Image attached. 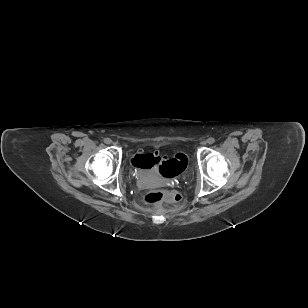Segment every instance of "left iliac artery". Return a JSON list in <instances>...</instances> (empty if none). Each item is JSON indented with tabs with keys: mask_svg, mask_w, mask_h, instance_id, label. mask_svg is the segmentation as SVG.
Here are the masks:
<instances>
[{
	"mask_svg": "<svg viewBox=\"0 0 308 308\" xmlns=\"http://www.w3.org/2000/svg\"><path fill=\"white\" fill-rule=\"evenodd\" d=\"M207 142H208L209 144H213V143L215 142V139L211 137V138L208 139Z\"/></svg>",
	"mask_w": 308,
	"mask_h": 308,
	"instance_id": "44dca946",
	"label": "left iliac artery"
}]
</instances>
